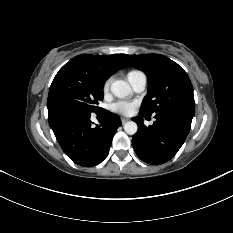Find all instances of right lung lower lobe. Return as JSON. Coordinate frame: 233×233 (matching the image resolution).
I'll return each mask as SVG.
<instances>
[{"label": "right lung lower lobe", "instance_id": "98d812e1", "mask_svg": "<svg viewBox=\"0 0 233 233\" xmlns=\"http://www.w3.org/2000/svg\"><path fill=\"white\" fill-rule=\"evenodd\" d=\"M104 120L92 126L91 113L72 107L48 109L49 125L64 153L76 164L91 167L108 155L120 118L107 110Z\"/></svg>", "mask_w": 233, "mask_h": 233}]
</instances>
